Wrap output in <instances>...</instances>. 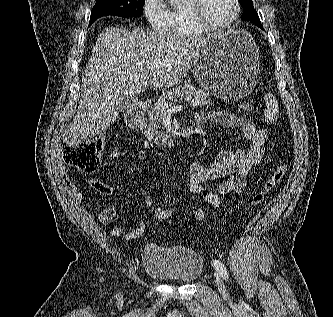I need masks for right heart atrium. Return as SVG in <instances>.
Instances as JSON below:
<instances>
[{"mask_svg": "<svg viewBox=\"0 0 333 317\" xmlns=\"http://www.w3.org/2000/svg\"><path fill=\"white\" fill-rule=\"evenodd\" d=\"M143 14L153 30L162 31L167 26V13L162 0H144Z\"/></svg>", "mask_w": 333, "mask_h": 317, "instance_id": "d8ad5b80", "label": "right heart atrium"}]
</instances>
